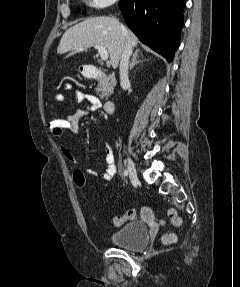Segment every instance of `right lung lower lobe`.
I'll return each mask as SVG.
<instances>
[{
	"label": "right lung lower lobe",
	"mask_w": 240,
	"mask_h": 287,
	"mask_svg": "<svg viewBox=\"0 0 240 287\" xmlns=\"http://www.w3.org/2000/svg\"><path fill=\"white\" fill-rule=\"evenodd\" d=\"M186 0H121L128 27L168 62L179 47Z\"/></svg>",
	"instance_id": "right-lung-lower-lobe-1"
}]
</instances>
